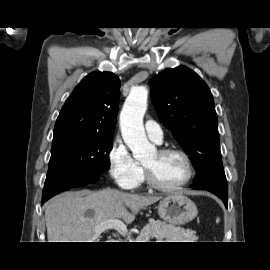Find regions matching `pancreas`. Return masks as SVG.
Listing matches in <instances>:
<instances>
[{
    "mask_svg": "<svg viewBox=\"0 0 270 270\" xmlns=\"http://www.w3.org/2000/svg\"><path fill=\"white\" fill-rule=\"evenodd\" d=\"M153 238L160 241L166 239L167 242H196L198 239L196 232L193 230H185L160 220L150 219L149 223L141 230L136 241L148 242L149 239Z\"/></svg>",
    "mask_w": 270,
    "mask_h": 270,
    "instance_id": "obj_1",
    "label": "pancreas"
}]
</instances>
